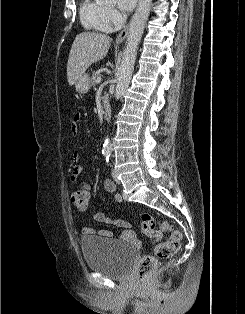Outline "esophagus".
I'll return each mask as SVG.
<instances>
[{
	"instance_id": "esophagus-1",
	"label": "esophagus",
	"mask_w": 245,
	"mask_h": 314,
	"mask_svg": "<svg viewBox=\"0 0 245 314\" xmlns=\"http://www.w3.org/2000/svg\"><path fill=\"white\" fill-rule=\"evenodd\" d=\"M128 31H129V27L126 26L119 34L118 36L116 37V43H121L125 40L127 34H128Z\"/></svg>"
}]
</instances>
